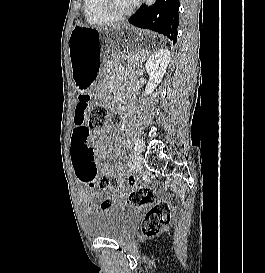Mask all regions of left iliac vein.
Masks as SVG:
<instances>
[{
  "mask_svg": "<svg viewBox=\"0 0 265 273\" xmlns=\"http://www.w3.org/2000/svg\"><path fill=\"white\" fill-rule=\"evenodd\" d=\"M140 143V150L144 148V142L142 139L137 138ZM133 164L137 170H141L142 168V157L140 154H136L133 158Z\"/></svg>",
  "mask_w": 265,
  "mask_h": 273,
  "instance_id": "left-iliac-vein-1",
  "label": "left iliac vein"
}]
</instances>
